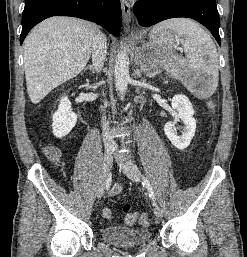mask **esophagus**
<instances>
[{
	"label": "esophagus",
	"instance_id": "1",
	"mask_svg": "<svg viewBox=\"0 0 247 257\" xmlns=\"http://www.w3.org/2000/svg\"><path fill=\"white\" fill-rule=\"evenodd\" d=\"M122 16L126 26L130 25L132 13L131 5L128 0H121Z\"/></svg>",
	"mask_w": 247,
	"mask_h": 257
}]
</instances>
